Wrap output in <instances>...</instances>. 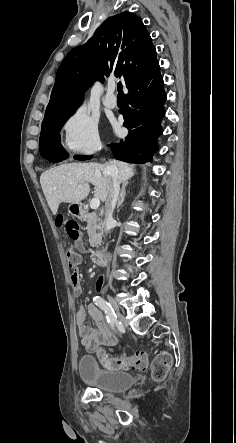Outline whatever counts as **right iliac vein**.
<instances>
[{
    "mask_svg": "<svg viewBox=\"0 0 236 443\" xmlns=\"http://www.w3.org/2000/svg\"><path fill=\"white\" fill-rule=\"evenodd\" d=\"M117 318H118V320L120 321V322H122V323H124L125 322V318H124V316L121 314V313H117Z\"/></svg>",
    "mask_w": 236,
    "mask_h": 443,
    "instance_id": "obj_1",
    "label": "right iliac vein"
}]
</instances>
